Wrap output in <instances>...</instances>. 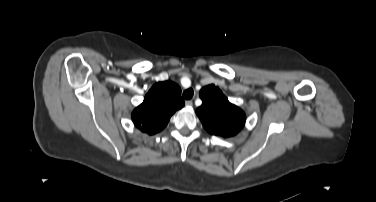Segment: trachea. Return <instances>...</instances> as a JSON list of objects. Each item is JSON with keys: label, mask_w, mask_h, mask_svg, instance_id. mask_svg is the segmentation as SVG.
<instances>
[{"label": "trachea", "mask_w": 376, "mask_h": 202, "mask_svg": "<svg viewBox=\"0 0 376 202\" xmlns=\"http://www.w3.org/2000/svg\"><path fill=\"white\" fill-rule=\"evenodd\" d=\"M194 91L193 89L189 88L183 92V98L189 100L193 97Z\"/></svg>", "instance_id": "trachea-1"}]
</instances>
